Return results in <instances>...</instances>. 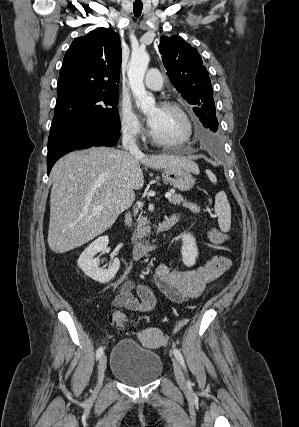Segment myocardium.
Wrapping results in <instances>:
<instances>
[{"label":"myocardium","instance_id":"1","mask_svg":"<svg viewBox=\"0 0 299 427\" xmlns=\"http://www.w3.org/2000/svg\"><path fill=\"white\" fill-rule=\"evenodd\" d=\"M160 107L172 109L175 112H177L182 118V120L184 121L186 131L181 138L174 139V140H167V139H162L156 136L152 128H150L149 135L152 142H154L159 146H164V147L179 146L188 142L193 135V123L187 111L177 102L168 101V100L161 102Z\"/></svg>","mask_w":299,"mask_h":427}]
</instances>
